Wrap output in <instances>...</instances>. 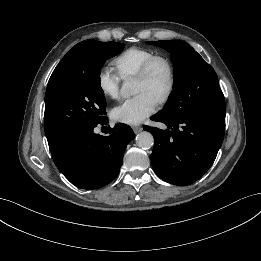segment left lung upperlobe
<instances>
[{"label": "left lung upper lobe", "instance_id": "5c2ea615", "mask_svg": "<svg viewBox=\"0 0 261 261\" xmlns=\"http://www.w3.org/2000/svg\"><path fill=\"white\" fill-rule=\"evenodd\" d=\"M153 44L152 41L148 42ZM171 53L174 85L167 104L158 113L178 119L209 110H225L214 69L191 46L180 40L157 42Z\"/></svg>", "mask_w": 261, "mask_h": 261}]
</instances>
